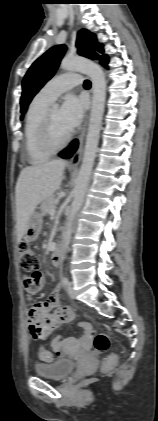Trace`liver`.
<instances>
[{
  "label": "liver",
  "instance_id": "1",
  "mask_svg": "<svg viewBox=\"0 0 158 421\" xmlns=\"http://www.w3.org/2000/svg\"><path fill=\"white\" fill-rule=\"evenodd\" d=\"M66 162L53 160L28 166L16 184L17 239L26 232L28 221L37 206L52 196L61 185Z\"/></svg>",
  "mask_w": 158,
  "mask_h": 421
}]
</instances>
